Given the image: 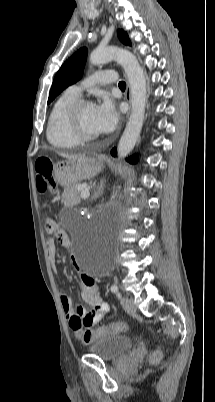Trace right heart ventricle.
<instances>
[{
    "label": "right heart ventricle",
    "instance_id": "right-heart-ventricle-1",
    "mask_svg": "<svg viewBox=\"0 0 215 402\" xmlns=\"http://www.w3.org/2000/svg\"><path fill=\"white\" fill-rule=\"evenodd\" d=\"M80 99L71 90L64 91L54 102L48 117L46 136L48 142L58 149H71L79 145L67 126V112L70 106Z\"/></svg>",
    "mask_w": 215,
    "mask_h": 402
}]
</instances>
